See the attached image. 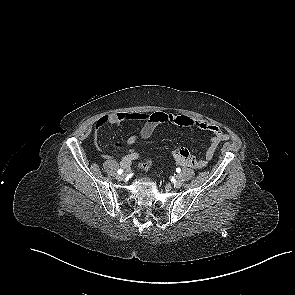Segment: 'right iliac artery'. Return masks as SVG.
I'll list each match as a JSON object with an SVG mask.
<instances>
[{
  "label": "right iliac artery",
  "instance_id": "right-iliac-artery-1",
  "mask_svg": "<svg viewBox=\"0 0 295 295\" xmlns=\"http://www.w3.org/2000/svg\"><path fill=\"white\" fill-rule=\"evenodd\" d=\"M117 173H118V174H122V173H123V169H119V170L117 171Z\"/></svg>",
  "mask_w": 295,
  "mask_h": 295
}]
</instances>
